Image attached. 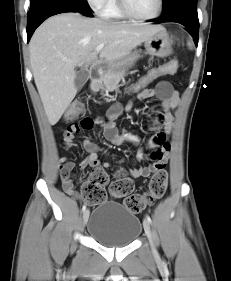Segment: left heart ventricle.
Wrapping results in <instances>:
<instances>
[{"instance_id": "left-heart-ventricle-1", "label": "left heart ventricle", "mask_w": 231, "mask_h": 281, "mask_svg": "<svg viewBox=\"0 0 231 281\" xmlns=\"http://www.w3.org/2000/svg\"><path fill=\"white\" fill-rule=\"evenodd\" d=\"M126 2L130 10L140 17L153 15L158 7V0H126Z\"/></svg>"}]
</instances>
